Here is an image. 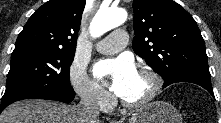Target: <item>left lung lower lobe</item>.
Instances as JSON below:
<instances>
[{
  "label": "left lung lower lobe",
  "instance_id": "1",
  "mask_svg": "<svg viewBox=\"0 0 221 123\" xmlns=\"http://www.w3.org/2000/svg\"><path fill=\"white\" fill-rule=\"evenodd\" d=\"M177 82H190V83L200 85L203 88H205L214 97L210 77L195 74V73L182 74V75H178V76H175L166 80L164 82L163 88L167 87L170 84L177 83Z\"/></svg>",
  "mask_w": 221,
  "mask_h": 123
}]
</instances>
